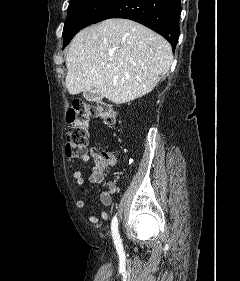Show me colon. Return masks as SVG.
I'll return each mask as SVG.
<instances>
[{
  "label": "colon",
  "mask_w": 240,
  "mask_h": 281,
  "mask_svg": "<svg viewBox=\"0 0 240 281\" xmlns=\"http://www.w3.org/2000/svg\"><path fill=\"white\" fill-rule=\"evenodd\" d=\"M92 118L100 119L107 126L112 127L116 123V113L112 106L106 102L94 104L75 99L67 112L68 123L65 153L68 158L80 159L88 156L89 122ZM109 155L106 153L96 154L97 166L103 169Z\"/></svg>",
  "instance_id": "obj_1"
}]
</instances>
